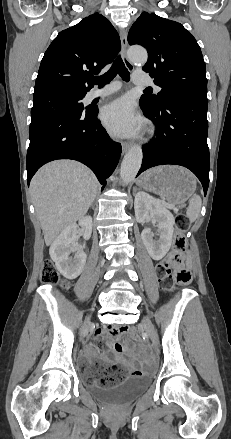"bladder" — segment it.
I'll list each match as a JSON object with an SVG mask.
<instances>
[{
	"label": "bladder",
	"mask_w": 231,
	"mask_h": 439,
	"mask_svg": "<svg viewBox=\"0 0 231 439\" xmlns=\"http://www.w3.org/2000/svg\"><path fill=\"white\" fill-rule=\"evenodd\" d=\"M88 362L91 361L85 359L79 360L77 363V372L83 379H87L89 375L99 368V366H96L94 363ZM151 379L150 375L143 374L129 377L114 386L89 385L88 391L93 398L99 401L112 404H124L144 392L150 385Z\"/></svg>",
	"instance_id": "31cf9c89"
}]
</instances>
